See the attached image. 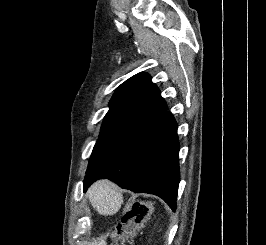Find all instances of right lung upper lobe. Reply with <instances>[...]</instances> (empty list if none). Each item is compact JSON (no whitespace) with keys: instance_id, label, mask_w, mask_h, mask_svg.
<instances>
[{"instance_id":"cb5924a9","label":"right lung upper lobe","mask_w":266,"mask_h":245,"mask_svg":"<svg viewBox=\"0 0 266 245\" xmlns=\"http://www.w3.org/2000/svg\"><path fill=\"white\" fill-rule=\"evenodd\" d=\"M105 117L148 121L167 111L159 89L146 73L126 80L115 91Z\"/></svg>"}]
</instances>
